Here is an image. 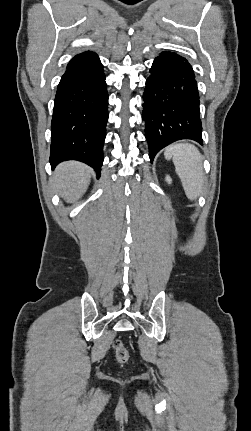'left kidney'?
Instances as JSON below:
<instances>
[{
    "mask_svg": "<svg viewBox=\"0 0 251 431\" xmlns=\"http://www.w3.org/2000/svg\"><path fill=\"white\" fill-rule=\"evenodd\" d=\"M166 181H167L168 183H171V182H172L171 177H170V176H167V177H166Z\"/></svg>",
    "mask_w": 251,
    "mask_h": 431,
    "instance_id": "1",
    "label": "left kidney"
}]
</instances>
